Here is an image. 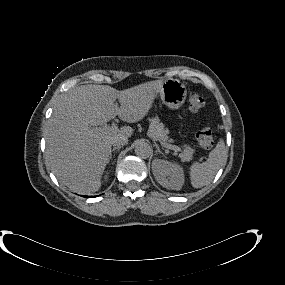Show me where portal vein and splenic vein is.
I'll return each instance as SVG.
<instances>
[{"instance_id":"obj_1","label":"portal vein and splenic vein","mask_w":285,"mask_h":285,"mask_svg":"<svg viewBox=\"0 0 285 285\" xmlns=\"http://www.w3.org/2000/svg\"><path fill=\"white\" fill-rule=\"evenodd\" d=\"M99 130L101 131H107V132H117L118 131V127L116 125H112V126H103V127H100L98 128ZM161 145L167 149H171V150H174L175 152H178L179 151V148L175 145H171V144H168L166 142H161Z\"/></svg>"}]
</instances>
